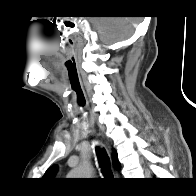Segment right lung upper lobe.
<instances>
[{
  "label": "right lung upper lobe",
  "instance_id": "right-lung-upper-lobe-1",
  "mask_svg": "<svg viewBox=\"0 0 196 196\" xmlns=\"http://www.w3.org/2000/svg\"><path fill=\"white\" fill-rule=\"evenodd\" d=\"M113 163L116 169H120L121 165L118 161L117 158V152L114 150L113 152ZM58 167L56 165L50 167L44 174L43 178L46 179H53V177L55 176L56 172H57Z\"/></svg>",
  "mask_w": 196,
  "mask_h": 196
}]
</instances>
